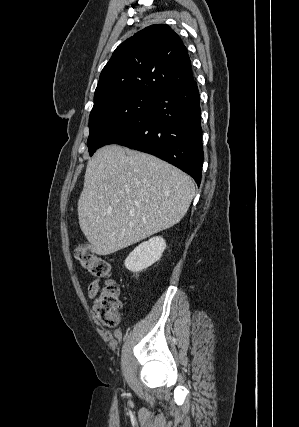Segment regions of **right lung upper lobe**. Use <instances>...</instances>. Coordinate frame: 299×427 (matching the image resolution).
<instances>
[{"instance_id":"right-lung-upper-lobe-1","label":"right lung upper lobe","mask_w":299,"mask_h":427,"mask_svg":"<svg viewBox=\"0 0 299 427\" xmlns=\"http://www.w3.org/2000/svg\"><path fill=\"white\" fill-rule=\"evenodd\" d=\"M193 80L188 52L180 37L168 25L155 24L117 47L101 72L94 103L118 93L155 97Z\"/></svg>"}]
</instances>
